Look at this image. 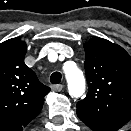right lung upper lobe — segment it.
<instances>
[{"label": "right lung upper lobe", "mask_w": 131, "mask_h": 131, "mask_svg": "<svg viewBox=\"0 0 131 131\" xmlns=\"http://www.w3.org/2000/svg\"><path fill=\"white\" fill-rule=\"evenodd\" d=\"M26 52L18 38L0 44V131H21L39 114L50 91L25 65Z\"/></svg>", "instance_id": "obj_1"}]
</instances>
